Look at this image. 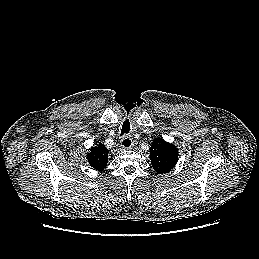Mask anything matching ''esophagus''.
Segmentation results:
<instances>
[{
    "mask_svg": "<svg viewBox=\"0 0 259 259\" xmlns=\"http://www.w3.org/2000/svg\"><path fill=\"white\" fill-rule=\"evenodd\" d=\"M121 146L124 149H132L133 146H134V143H133V141H132V139L130 137H124L121 140Z\"/></svg>",
    "mask_w": 259,
    "mask_h": 259,
    "instance_id": "1",
    "label": "esophagus"
}]
</instances>
